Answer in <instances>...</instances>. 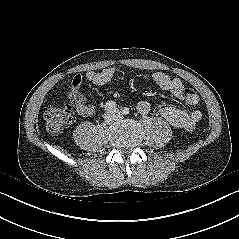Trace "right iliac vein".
<instances>
[{"label":"right iliac vein","instance_id":"obj_1","mask_svg":"<svg viewBox=\"0 0 239 239\" xmlns=\"http://www.w3.org/2000/svg\"><path fill=\"white\" fill-rule=\"evenodd\" d=\"M105 121H106L107 123H112V122L114 121V117H113V115H112L110 112H108V113L106 114V116H105Z\"/></svg>","mask_w":239,"mask_h":239}]
</instances>
